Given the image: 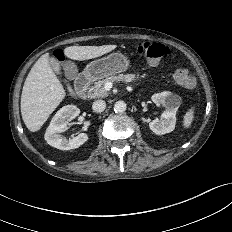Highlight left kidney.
Here are the masks:
<instances>
[{
	"mask_svg": "<svg viewBox=\"0 0 232 232\" xmlns=\"http://www.w3.org/2000/svg\"><path fill=\"white\" fill-rule=\"evenodd\" d=\"M151 100L157 105L165 106L166 110L163 112L160 120L155 119L149 123L150 129L157 135L172 132L176 124V112L181 103L179 96L164 91L152 95Z\"/></svg>",
	"mask_w": 232,
	"mask_h": 232,
	"instance_id": "1",
	"label": "left kidney"
}]
</instances>
